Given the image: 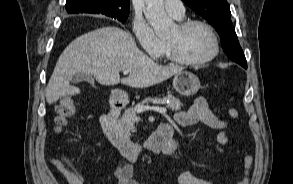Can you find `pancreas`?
Returning <instances> with one entry per match:
<instances>
[{
	"label": "pancreas",
	"mask_w": 293,
	"mask_h": 184,
	"mask_svg": "<svg viewBox=\"0 0 293 184\" xmlns=\"http://www.w3.org/2000/svg\"><path fill=\"white\" fill-rule=\"evenodd\" d=\"M149 102L166 105L168 108L172 109L173 111H179L181 110V107H182L181 101L175 98L173 95H167L166 97H163V98L148 97V98H145L138 105L148 104ZM139 120L140 118L138 117L135 108L131 107L127 109L122 115V117L118 120L120 131L124 135L129 137L131 135V132L135 131V123H138Z\"/></svg>",
	"instance_id": "obj_1"
}]
</instances>
